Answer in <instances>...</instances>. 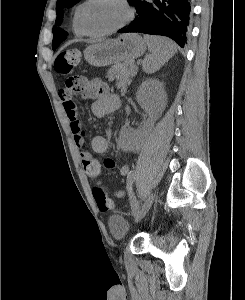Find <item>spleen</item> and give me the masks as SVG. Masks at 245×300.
<instances>
[{"instance_id": "3e777b00", "label": "spleen", "mask_w": 245, "mask_h": 300, "mask_svg": "<svg viewBox=\"0 0 245 300\" xmlns=\"http://www.w3.org/2000/svg\"><path fill=\"white\" fill-rule=\"evenodd\" d=\"M144 40L150 50L142 63L145 73H155L177 53L175 43L166 37L145 35Z\"/></svg>"}]
</instances>
